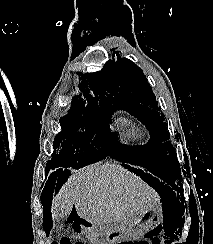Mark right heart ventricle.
<instances>
[{"label": "right heart ventricle", "mask_w": 213, "mask_h": 244, "mask_svg": "<svg viewBox=\"0 0 213 244\" xmlns=\"http://www.w3.org/2000/svg\"><path fill=\"white\" fill-rule=\"evenodd\" d=\"M111 131L117 140L126 145H131L142 141L145 129L142 124L127 111H121L114 119Z\"/></svg>", "instance_id": "1"}]
</instances>
